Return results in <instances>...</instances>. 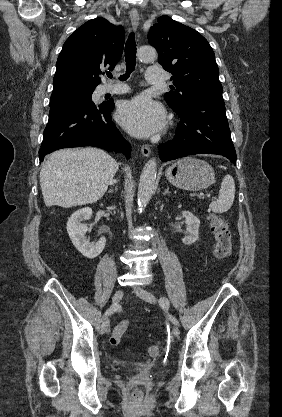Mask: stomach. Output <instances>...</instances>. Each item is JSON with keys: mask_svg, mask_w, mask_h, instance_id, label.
Here are the masks:
<instances>
[{"mask_svg": "<svg viewBox=\"0 0 282 417\" xmlns=\"http://www.w3.org/2000/svg\"><path fill=\"white\" fill-rule=\"evenodd\" d=\"M171 184L184 190H202L215 182V172L206 160L186 156L172 162L165 170Z\"/></svg>", "mask_w": 282, "mask_h": 417, "instance_id": "0dacf381", "label": "stomach"}]
</instances>
